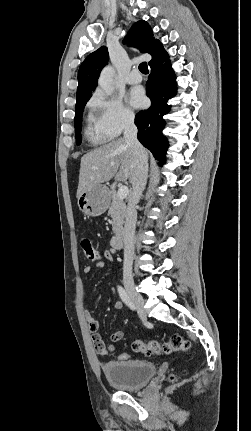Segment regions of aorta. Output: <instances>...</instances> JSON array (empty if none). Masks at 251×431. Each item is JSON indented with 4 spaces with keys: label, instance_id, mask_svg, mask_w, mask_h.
I'll use <instances>...</instances> for the list:
<instances>
[{
    "label": "aorta",
    "instance_id": "aorta-1",
    "mask_svg": "<svg viewBox=\"0 0 251 431\" xmlns=\"http://www.w3.org/2000/svg\"><path fill=\"white\" fill-rule=\"evenodd\" d=\"M114 76L115 69L112 66H106L101 71L98 84L107 95H112L114 92Z\"/></svg>",
    "mask_w": 251,
    "mask_h": 431
}]
</instances>
